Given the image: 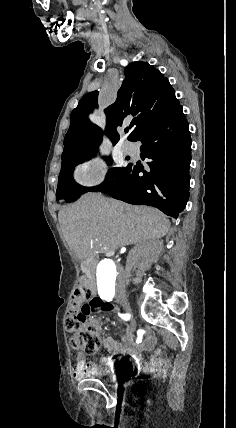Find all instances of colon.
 <instances>
[{
    "instance_id": "5ec220e1",
    "label": "colon",
    "mask_w": 236,
    "mask_h": 428,
    "mask_svg": "<svg viewBox=\"0 0 236 428\" xmlns=\"http://www.w3.org/2000/svg\"><path fill=\"white\" fill-rule=\"evenodd\" d=\"M108 309L109 306L92 293L89 281L82 278L73 290L70 310L65 319V329L71 334L73 348L88 354L98 351L101 337L91 317Z\"/></svg>"
}]
</instances>
